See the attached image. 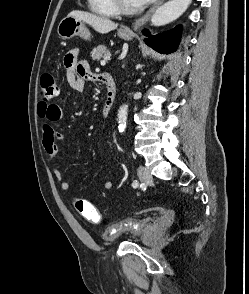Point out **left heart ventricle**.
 <instances>
[{
  "label": "left heart ventricle",
  "instance_id": "1",
  "mask_svg": "<svg viewBox=\"0 0 249 294\" xmlns=\"http://www.w3.org/2000/svg\"><path fill=\"white\" fill-rule=\"evenodd\" d=\"M124 3L128 6V7H136V5L134 4L133 0H124Z\"/></svg>",
  "mask_w": 249,
  "mask_h": 294
}]
</instances>
